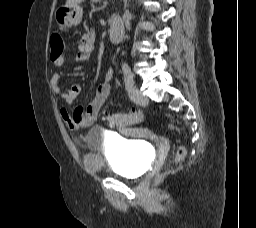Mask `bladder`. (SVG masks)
Wrapping results in <instances>:
<instances>
[{"instance_id": "obj_1", "label": "bladder", "mask_w": 256, "mask_h": 228, "mask_svg": "<svg viewBox=\"0 0 256 228\" xmlns=\"http://www.w3.org/2000/svg\"><path fill=\"white\" fill-rule=\"evenodd\" d=\"M89 152L85 164L96 172L137 178L147 169L149 155L138 141L105 135L99 128L91 129L86 140ZM104 148V152L100 148Z\"/></svg>"}]
</instances>
